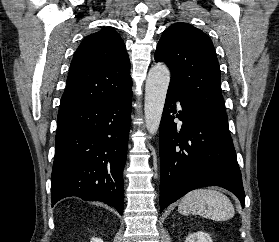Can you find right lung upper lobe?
Masks as SVG:
<instances>
[{
  "instance_id": "1",
  "label": "right lung upper lobe",
  "mask_w": 279,
  "mask_h": 242,
  "mask_svg": "<svg viewBox=\"0 0 279 242\" xmlns=\"http://www.w3.org/2000/svg\"><path fill=\"white\" fill-rule=\"evenodd\" d=\"M131 85L125 44L115 30L104 28L87 36L76 50L59 110L116 98Z\"/></svg>"
}]
</instances>
